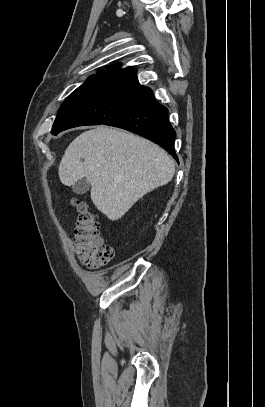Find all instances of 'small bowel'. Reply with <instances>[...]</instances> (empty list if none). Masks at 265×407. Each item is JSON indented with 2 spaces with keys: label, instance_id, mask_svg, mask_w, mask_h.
<instances>
[{
  "label": "small bowel",
  "instance_id": "c3829d8e",
  "mask_svg": "<svg viewBox=\"0 0 265 407\" xmlns=\"http://www.w3.org/2000/svg\"><path fill=\"white\" fill-rule=\"evenodd\" d=\"M70 246L73 247L72 242L70 241Z\"/></svg>",
  "mask_w": 265,
  "mask_h": 407
}]
</instances>
